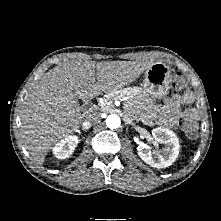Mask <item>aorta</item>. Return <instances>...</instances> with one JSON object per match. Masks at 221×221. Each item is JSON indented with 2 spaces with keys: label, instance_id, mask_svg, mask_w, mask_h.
<instances>
[{
  "label": "aorta",
  "instance_id": "obj_1",
  "mask_svg": "<svg viewBox=\"0 0 221 221\" xmlns=\"http://www.w3.org/2000/svg\"><path fill=\"white\" fill-rule=\"evenodd\" d=\"M106 125L111 129L118 128L121 125V119L116 114H110L106 118Z\"/></svg>",
  "mask_w": 221,
  "mask_h": 221
}]
</instances>
